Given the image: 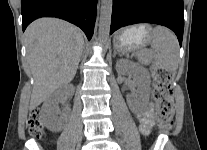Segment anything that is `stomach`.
<instances>
[{
    "mask_svg": "<svg viewBox=\"0 0 207 150\" xmlns=\"http://www.w3.org/2000/svg\"><path fill=\"white\" fill-rule=\"evenodd\" d=\"M150 28L138 25L119 32L114 40L115 48L120 52L134 51L144 46L149 40Z\"/></svg>",
    "mask_w": 207,
    "mask_h": 150,
    "instance_id": "stomach-1",
    "label": "stomach"
}]
</instances>
